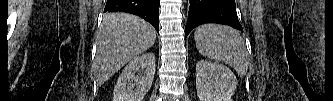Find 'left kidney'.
Instances as JSON below:
<instances>
[{
  "label": "left kidney",
  "mask_w": 333,
  "mask_h": 101,
  "mask_svg": "<svg viewBox=\"0 0 333 101\" xmlns=\"http://www.w3.org/2000/svg\"><path fill=\"white\" fill-rule=\"evenodd\" d=\"M237 79L226 66L201 60L196 64V90L200 101H232Z\"/></svg>",
  "instance_id": "5707ae66"
}]
</instances>
